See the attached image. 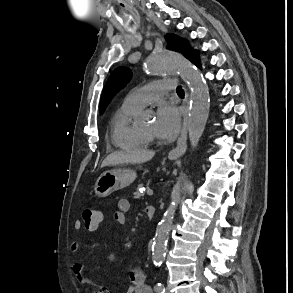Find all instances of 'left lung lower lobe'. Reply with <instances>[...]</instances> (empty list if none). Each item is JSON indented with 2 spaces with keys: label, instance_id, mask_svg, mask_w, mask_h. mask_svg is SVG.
<instances>
[{
  "label": "left lung lower lobe",
  "instance_id": "0a47b994",
  "mask_svg": "<svg viewBox=\"0 0 293 293\" xmlns=\"http://www.w3.org/2000/svg\"><path fill=\"white\" fill-rule=\"evenodd\" d=\"M191 61L198 67L201 68L200 62H199V56H198V52L196 53V55L191 59Z\"/></svg>",
  "mask_w": 293,
  "mask_h": 293
}]
</instances>
